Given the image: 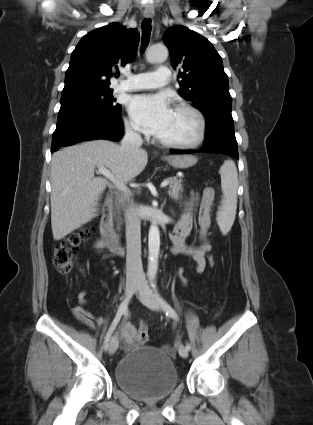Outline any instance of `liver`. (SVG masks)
<instances>
[{"mask_svg": "<svg viewBox=\"0 0 313 425\" xmlns=\"http://www.w3.org/2000/svg\"><path fill=\"white\" fill-rule=\"evenodd\" d=\"M148 154L139 149L124 152L108 140H93L66 147L51 160V228L59 241L96 216V205L107 186L95 177V167L104 166L122 183L138 176L146 167Z\"/></svg>", "mask_w": 313, "mask_h": 425, "instance_id": "1", "label": "liver"}]
</instances>
